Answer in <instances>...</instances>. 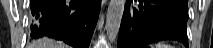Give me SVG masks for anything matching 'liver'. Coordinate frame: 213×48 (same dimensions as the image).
<instances>
[{
	"label": "liver",
	"mask_w": 213,
	"mask_h": 48,
	"mask_svg": "<svg viewBox=\"0 0 213 48\" xmlns=\"http://www.w3.org/2000/svg\"><path fill=\"white\" fill-rule=\"evenodd\" d=\"M30 48H69L68 45H65L62 42H55L52 39L49 38H43L34 41Z\"/></svg>",
	"instance_id": "obj_1"
}]
</instances>
